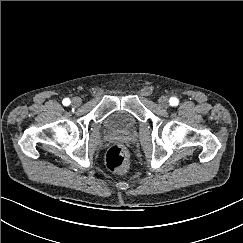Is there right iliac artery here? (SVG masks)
<instances>
[{
	"label": "right iliac artery",
	"instance_id": "right-iliac-artery-1",
	"mask_svg": "<svg viewBox=\"0 0 243 243\" xmlns=\"http://www.w3.org/2000/svg\"><path fill=\"white\" fill-rule=\"evenodd\" d=\"M69 104H70V99L69 98H65L63 100V105L68 106Z\"/></svg>",
	"mask_w": 243,
	"mask_h": 243
}]
</instances>
